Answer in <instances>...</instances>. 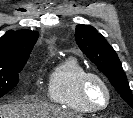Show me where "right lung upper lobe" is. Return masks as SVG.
Instances as JSON below:
<instances>
[{
	"instance_id": "obj_1",
	"label": "right lung upper lobe",
	"mask_w": 133,
	"mask_h": 118,
	"mask_svg": "<svg viewBox=\"0 0 133 118\" xmlns=\"http://www.w3.org/2000/svg\"><path fill=\"white\" fill-rule=\"evenodd\" d=\"M39 33L31 30H9L0 38V65L27 62Z\"/></svg>"
}]
</instances>
